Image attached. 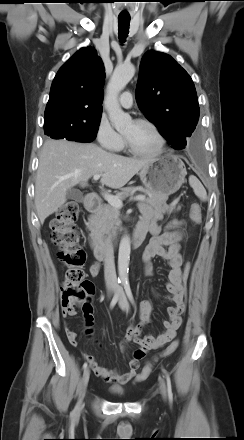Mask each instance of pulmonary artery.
Segmentation results:
<instances>
[{
	"label": "pulmonary artery",
	"instance_id": "obj_1",
	"mask_svg": "<svg viewBox=\"0 0 244 440\" xmlns=\"http://www.w3.org/2000/svg\"><path fill=\"white\" fill-rule=\"evenodd\" d=\"M119 102L123 108H130L133 104V97L131 92L129 91L123 92L122 95L120 96Z\"/></svg>",
	"mask_w": 244,
	"mask_h": 440
}]
</instances>
